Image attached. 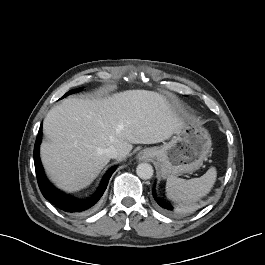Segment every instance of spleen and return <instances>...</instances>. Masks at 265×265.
I'll return each mask as SVG.
<instances>
[{"instance_id":"3e777b00","label":"spleen","mask_w":265,"mask_h":265,"mask_svg":"<svg viewBox=\"0 0 265 265\" xmlns=\"http://www.w3.org/2000/svg\"><path fill=\"white\" fill-rule=\"evenodd\" d=\"M216 169L211 167L199 178L189 180L169 176L166 182L167 197L174 201H197L208 194L216 180Z\"/></svg>"}]
</instances>
